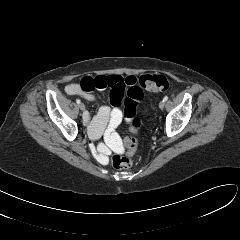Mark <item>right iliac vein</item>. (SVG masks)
<instances>
[{
  "mask_svg": "<svg viewBox=\"0 0 240 240\" xmlns=\"http://www.w3.org/2000/svg\"><path fill=\"white\" fill-rule=\"evenodd\" d=\"M79 108H80L81 111H84L85 110V105L83 103H80Z\"/></svg>",
  "mask_w": 240,
  "mask_h": 240,
  "instance_id": "1",
  "label": "right iliac vein"
}]
</instances>
